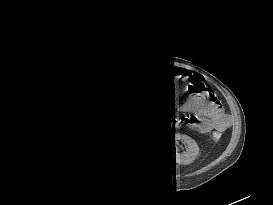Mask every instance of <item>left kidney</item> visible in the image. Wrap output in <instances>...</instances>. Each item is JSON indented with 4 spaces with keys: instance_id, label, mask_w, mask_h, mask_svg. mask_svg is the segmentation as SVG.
Segmentation results:
<instances>
[{
    "instance_id": "5707ae66",
    "label": "left kidney",
    "mask_w": 273,
    "mask_h": 205,
    "mask_svg": "<svg viewBox=\"0 0 273 205\" xmlns=\"http://www.w3.org/2000/svg\"><path fill=\"white\" fill-rule=\"evenodd\" d=\"M181 142L184 144L186 151H179L176 144ZM175 144V145H174ZM173 159L180 165H187L195 160L199 153V147L197 143L183 134H176L173 136Z\"/></svg>"
}]
</instances>
